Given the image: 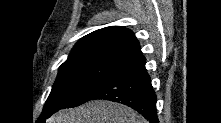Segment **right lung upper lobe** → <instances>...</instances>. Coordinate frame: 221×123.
I'll return each instance as SVG.
<instances>
[{"label": "right lung upper lobe", "mask_w": 221, "mask_h": 123, "mask_svg": "<svg viewBox=\"0 0 221 123\" xmlns=\"http://www.w3.org/2000/svg\"><path fill=\"white\" fill-rule=\"evenodd\" d=\"M84 50L112 51L130 58L142 54L134 33L122 26L105 27L84 36L70 54Z\"/></svg>", "instance_id": "1"}]
</instances>
